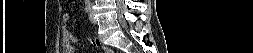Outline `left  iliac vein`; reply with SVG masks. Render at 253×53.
I'll use <instances>...</instances> for the list:
<instances>
[{
    "mask_svg": "<svg viewBox=\"0 0 253 53\" xmlns=\"http://www.w3.org/2000/svg\"><path fill=\"white\" fill-rule=\"evenodd\" d=\"M89 20L91 21V23H94V24L96 23L92 7H90V9H89Z\"/></svg>",
    "mask_w": 253,
    "mask_h": 53,
    "instance_id": "left-iliac-vein-1",
    "label": "left iliac vein"
}]
</instances>
